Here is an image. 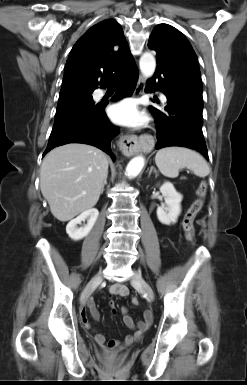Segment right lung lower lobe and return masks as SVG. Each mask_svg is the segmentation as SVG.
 I'll use <instances>...</instances> for the list:
<instances>
[{
  "label": "right lung lower lobe",
  "instance_id": "right-lung-lower-lobe-1",
  "mask_svg": "<svg viewBox=\"0 0 247 385\" xmlns=\"http://www.w3.org/2000/svg\"><path fill=\"white\" fill-rule=\"evenodd\" d=\"M138 79L135 63L117 77L118 90L113 100L130 96ZM106 104H83L56 113L54 126L43 156L51 149L68 143L93 145L112 156L110 143L119 130L108 120L104 108Z\"/></svg>",
  "mask_w": 247,
  "mask_h": 385
}]
</instances>
